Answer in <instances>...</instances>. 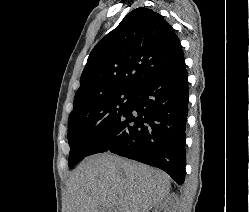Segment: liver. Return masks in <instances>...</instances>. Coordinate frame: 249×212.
Listing matches in <instances>:
<instances>
[{
	"label": "liver",
	"mask_w": 249,
	"mask_h": 212,
	"mask_svg": "<svg viewBox=\"0 0 249 212\" xmlns=\"http://www.w3.org/2000/svg\"><path fill=\"white\" fill-rule=\"evenodd\" d=\"M66 186V212H149L171 188L162 170L110 152L85 158Z\"/></svg>",
	"instance_id": "liver-1"
}]
</instances>
